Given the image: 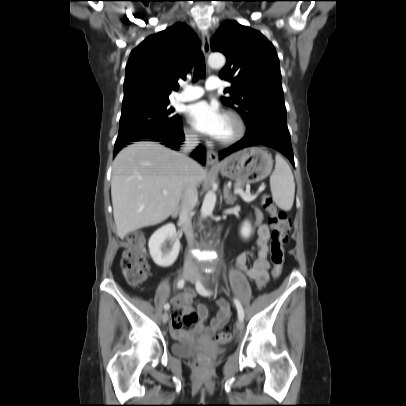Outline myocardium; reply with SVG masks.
Segmentation results:
<instances>
[{
	"mask_svg": "<svg viewBox=\"0 0 406 406\" xmlns=\"http://www.w3.org/2000/svg\"><path fill=\"white\" fill-rule=\"evenodd\" d=\"M224 116L229 118L234 123L236 131L232 136L228 138L225 139L217 138V142L221 145H232L240 141L244 137L246 133V125L242 117L234 111L227 110L224 112Z\"/></svg>",
	"mask_w": 406,
	"mask_h": 406,
	"instance_id": "myocardium-1",
	"label": "myocardium"
}]
</instances>
